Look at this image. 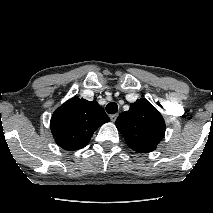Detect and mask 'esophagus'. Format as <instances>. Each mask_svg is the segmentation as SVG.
<instances>
[{
  "mask_svg": "<svg viewBox=\"0 0 213 213\" xmlns=\"http://www.w3.org/2000/svg\"><path fill=\"white\" fill-rule=\"evenodd\" d=\"M117 114H112V115H110V119H111V121L112 122H115L116 121V119H117Z\"/></svg>",
  "mask_w": 213,
  "mask_h": 213,
  "instance_id": "34e87169",
  "label": "esophagus"
}]
</instances>
